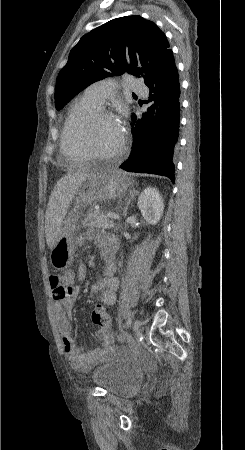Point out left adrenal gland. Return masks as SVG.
Instances as JSON below:
<instances>
[{"mask_svg":"<svg viewBox=\"0 0 245 450\" xmlns=\"http://www.w3.org/2000/svg\"><path fill=\"white\" fill-rule=\"evenodd\" d=\"M138 194H139V192L135 188H133L132 190L129 191L128 197H126L127 202L125 204V208H124V212H123L124 216L127 215V210H128L129 204L135 198V196Z\"/></svg>","mask_w":245,"mask_h":450,"instance_id":"1","label":"left adrenal gland"}]
</instances>
